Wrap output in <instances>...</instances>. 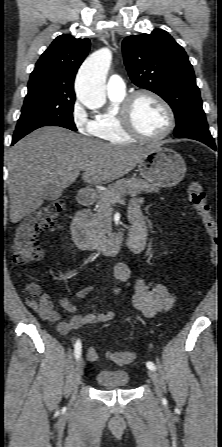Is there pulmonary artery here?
<instances>
[{"label":"pulmonary artery","instance_id":"e3ab8cb5","mask_svg":"<svg viewBox=\"0 0 222 447\" xmlns=\"http://www.w3.org/2000/svg\"><path fill=\"white\" fill-rule=\"evenodd\" d=\"M108 94L120 95L125 93L126 84L122 77L117 74L111 75L107 82Z\"/></svg>","mask_w":222,"mask_h":447}]
</instances>
